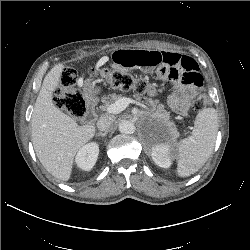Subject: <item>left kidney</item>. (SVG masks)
Returning a JSON list of instances; mask_svg holds the SVG:
<instances>
[{"label": "left kidney", "instance_id": "left-kidney-1", "mask_svg": "<svg viewBox=\"0 0 250 250\" xmlns=\"http://www.w3.org/2000/svg\"><path fill=\"white\" fill-rule=\"evenodd\" d=\"M153 161L162 168H169L171 165V146L168 143L156 144L151 148Z\"/></svg>", "mask_w": 250, "mask_h": 250}]
</instances>
